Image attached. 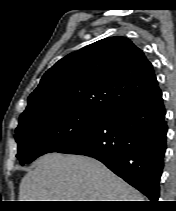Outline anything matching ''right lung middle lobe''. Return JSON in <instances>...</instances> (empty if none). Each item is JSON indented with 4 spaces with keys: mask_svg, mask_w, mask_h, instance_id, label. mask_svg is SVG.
I'll return each instance as SVG.
<instances>
[{
    "mask_svg": "<svg viewBox=\"0 0 176 211\" xmlns=\"http://www.w3.org/2000/svg\"><path fill=\"white\" fill-rule=\"evenodd\" d=\"M108 114L79 109L49 108L19 118L15 140L23 165L56 152L100 125Z\"/></svg>",
    "mask_w": 176,
    "mask_h": 211,
    "instance_id": "dd1d6c3e",
    "label": "right lung middle lobe"
}]
</instances>
